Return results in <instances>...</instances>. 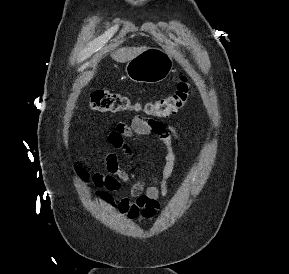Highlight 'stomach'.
Here are the masks:
<instances>
[{
  "instance_id": "1",
  "label": "stomach",
  "mask_w": 289,
  "mask_h": 274,
  "mask_svg": "<svg viewBox=\"0 0 289 274\" xmlns=\"http://www.w3.org/2000/svg\"><path fill=\"white\" fill-rule=\"evenodd\" d=\"M173 69V59L167 50L151 47L129 60L125 72L134 82L154 84L163 81Z\"/></svg>"
}]
</instances>
